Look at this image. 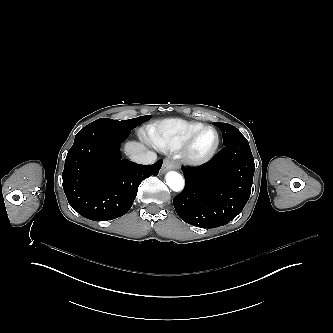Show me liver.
Listing matches in <instances>:
<instances>
[{"label":"liver","mask_w":333,"mask_h":333,"mask_svg":"<svg viewBox=\"0 0 333 333\" xmlns=\"http://www.w3.org/2000/svg\"><path fill=\"white\" fill-rule=\"evenodd\" d=\"M126 151L128 154H137L140 152H145L146 147L139 143H128L126 146Z\"/></svg>","instance_id":"obj_1"}]
</instances>
